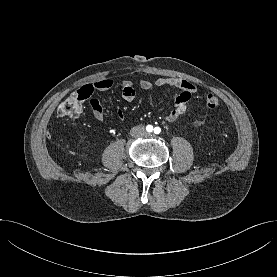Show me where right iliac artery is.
<instances>
[{
    "mask_svg": "<svg viewBox=\"0 0 277 277\" xmlns=\"http://www.w3.org/2000/svg\"><path fill=\"white\" fill-rule=\"evenodd\" d=\"M146 130L148 132H152L153 131V126L152 125H147Z\"/></svg>",
    "mask_w": 277,
    "mask_h": 277,
    "instance_id": "82829eb1",
    "label": "right iliac artery"
}]
</instances>
